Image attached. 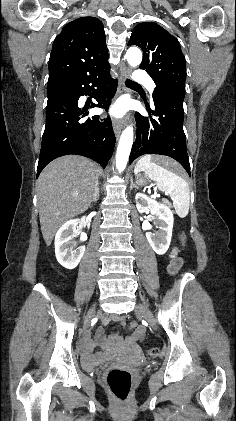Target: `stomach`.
Listing matches in <instances>:
<instances>
[{"label":"stomach","mask_w":236,"mask_h":421,"mask_svg":"<svg viewBox=\"0 0 236 421\" xmlns=\"http://www.w3.org/2000/svg\"><path fill=\"white\" fill-rule=\"evenodd\" d=\"M147 182V176H141V174H137L136 184H139V186H145Z\"/></svg>","instance_id":"obj_1"}]
</instances>
